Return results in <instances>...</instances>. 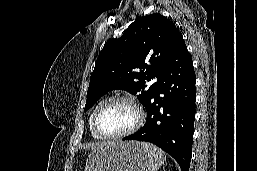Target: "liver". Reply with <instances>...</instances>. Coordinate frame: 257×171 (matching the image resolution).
<instances>
[{
	"label": "liver",
	"instance_id": "6515ba94",
	"mask_svg": "<svg viewBox=\"0 0 257 171\" xmlns=\"http://www.w3.org/2000/svg\"><path fill=\"white\" fill-rule=\"evenodd\" d=\"M111 143H113V142L97 143V144L93 145L90 148H91L92 151H96V150H99V149H101V148H103V147H105V146H107V145H109Z\"/></svg>",
	"mask_w": 257,
	"mask_h": 171
}]
</instances>
